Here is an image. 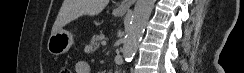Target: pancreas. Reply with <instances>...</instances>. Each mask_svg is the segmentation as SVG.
<instances>
[{
    "instance_id": "1",
    "label": "pancreas",
    "mask_w": 244,
    "mask_h": 73,
    "mask_svg": "<svg viewBox=\"0 0 244 73\" xmlns=\"http://www.w3.org/2000/svg\"><path fill=\"white\" fill-rule=\"evenodd\" d=\"M102 40V37L99 35H94L91 38V41L89 45H87L84 49L86 53H94L100 46V41Z\"/></svg>"
}]
</instances>
